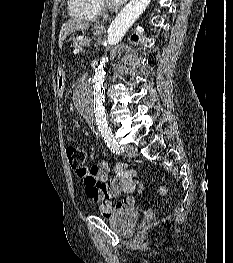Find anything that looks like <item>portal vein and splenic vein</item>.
<instances>
[{
  "label": "portal vein and splenic vein",
  "instance_id": "portal-vein-and-splenic-vein-1",
  "mask_svg": "<svg viewBox=\"0 0 233 263\" xmlns=\"http://www.w3.org/2000/svg\"><path fill=\"white\" fill-rule=\"evenodd\" d=\"M79 51H81L80 48L76 49V50H75V53H78Z\"/></svg>",
  "mask_w": 233,
  "mask_h": 263
}]
</instances>
